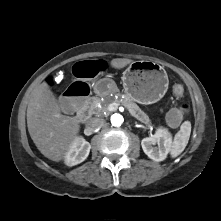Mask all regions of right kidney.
I'll list each match as a JSON object with an SVG mask.
<instances>
[{
  "instance_id": "obj_1",
  "label": "right kidney",
  "mask_w": 221,
  "mask_h": 221,
  "mask_svg": "<svg viewBox=\"0 0 221 221\" xmlns=\"http://www.w3.org/2000/svg\"><path fill=\"white\" fill-rule=\"evenodd\" d=\"M91 145L82 137H77L65 154V164L74 166L83 162L89 155Z\"/></svg>"
}]
</instances>
